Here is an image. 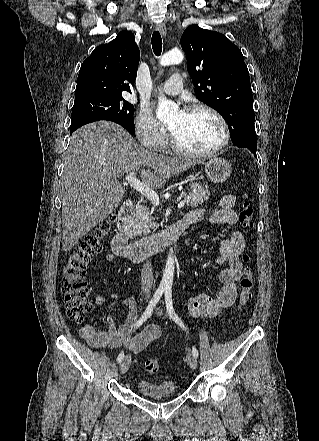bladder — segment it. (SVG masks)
<instances>
[{
  "label": "bladder",
  "mask_w": 319,
  "mask_h": 441,
  "mask_svg": "<svg viewBox=\"0 0 319 441\" xmlns=\"http://www.w3.org/2000/svg\"><path fill=\"white\" fill-rule=\"evenodd\" d=\"M137 391L142 397L164 398L173 397L177 394V385L172 380L154 382L150 379L142 378L136 383Z\"/></svg>",
  "instance_id": "obj_1"
}]
</instances>
